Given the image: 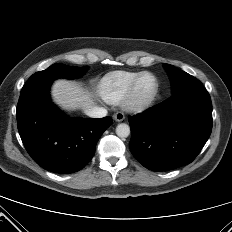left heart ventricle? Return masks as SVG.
I'll list each match as a JSON object with an SVG mask.
<instances>
[{
  "label": "left heart ventricle",
  "instance_id": "left-heart-ventricle-1",
  "mask_svg": "<svg viewBox=\"0 0 232 232\" xmlns=\"http://www.w3.org/2000/svg\"><path fill=\"white\" fill-rule=\"evenodd\" d=\"M153 88V80L149 76H145L139 83L137 94L139 97L147 96Z\"/></svg>",
  "mask_w": 232,
  "mask_h": 232
}]
</instances>
